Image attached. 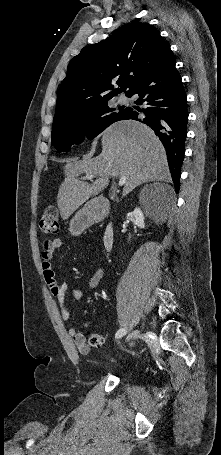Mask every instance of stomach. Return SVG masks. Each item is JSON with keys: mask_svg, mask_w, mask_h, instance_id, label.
<instances>
[{"mask_svg": "<svg viewBox=\"0 0 221 455\" xmlns=\"http://www.w3.org/2000/svg\"><path fill=\"white\" fill-rule=\"evenodd\" d=\"M98 205L99 200H92L76 212L69 223V231L72 235H80L87 227L99 219L101 209Z\"/></svg>", "mask_w": 221, "mask_h": 455, "instance_id": "obj_1", "label": "stomach"}]
</instances>
